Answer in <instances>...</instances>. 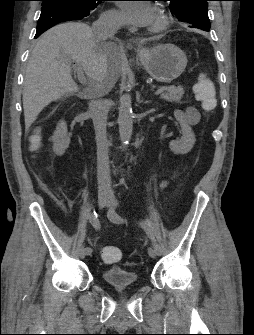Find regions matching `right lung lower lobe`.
Listing matches in <instances>:
<instances>
[{"label":"right lung lower lobe","mask_w":254,"mask_h":335,"mask_svg":"<svg viewBox=\"0 0 254 335\" xmlns=\"http://www.w3.org/2000/svg\"><path fill=\"white\" fill-rule=\"evenodd\" d=\"M91 10L79 9L67 3H51L42 6L37 23L35 38L52 26L65 21L81 20L90 14Z\"/></svg>","instance_id":"obj_1"}]
</instances>
